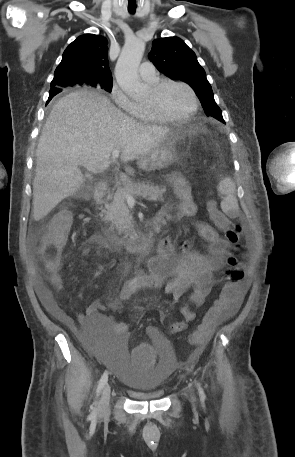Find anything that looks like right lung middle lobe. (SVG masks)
<instances>
[{
	"instance_id": "obj_1",
	"label": "right lung middle lobe",
	"mask_w": 295,
	"mask_h": 457,
	"mask_svg": "<svg viewBox=\"0 0 295 457\" xmlns=\"http://www.w3.org/2000/svg\"><path fill=\"white\" fill-rule=\"evenodd\" d=\"M68 85L73 86L74 84H68ZM68 85H66V86H68ZM78 85H81V84H78ZM90 85L91 86H100L101 88H104L108 92H111V90H112V81L105 82V83H100V85H98L97 83H92Z\"/></svg>"
}]
</instances>
